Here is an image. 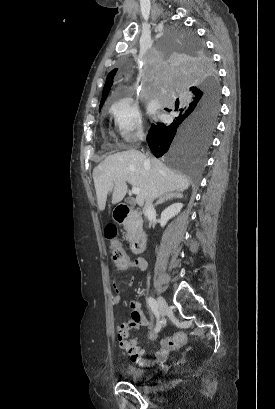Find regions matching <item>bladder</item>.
<instances>
[{"label": "bladder", "mask_w": 275, "mask_h": 409, "mask_svg": "<svg viewBox=\"0 0 275 409\" xmlns=\"http://www.w3.org/2000/svg\"><path fill=\"white\" fill-rule=\"evenodd\" d=\"M123 374L128 381L132 382H151L152 375L148 368H142L135 364H127L123 369Z\"/></svg>", "instance_id": "obj_1"}]
</instances>
